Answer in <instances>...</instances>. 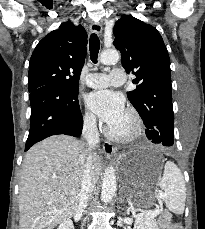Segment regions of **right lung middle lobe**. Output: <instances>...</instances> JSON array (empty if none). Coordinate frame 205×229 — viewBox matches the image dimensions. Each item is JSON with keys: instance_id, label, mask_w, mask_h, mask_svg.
<instances>
[{"instance_id": "right-lung-middle-lobe-1", "label": "right lung middle lobe", "mask_w": 205, "mask_h": 229, "mask_svg": "<svg viewBox=\"0 0 205 229\" xmlns=\"http://www.w3.org/2000/svg\"><path fill=\"white\" fill-rule=\"evenodd\" d=\"M63 87L70 88L74 90L76 93L78 92V84L77 83H69V82H63Z\"/></svg>"}]
</instances>
